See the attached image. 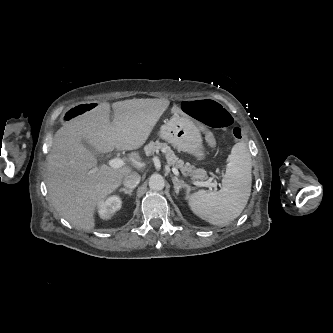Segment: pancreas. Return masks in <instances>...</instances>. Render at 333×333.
Instances as JSON below:
<instances>
[{
    "mask_svg": "<svg viewBox=\"0 0 333 333\" xmlns=\"http://www.w3.org/2000/svg\"><path fill=\"white\" fill-rule=\"evenodd\" d=\"M159 150L165 153L167 164L178 168L183 175L190 176L193 181H203L207 179V172L204 169H197L189 163H185L183 160L178 159L166 143L151 141L144 147V151L147 156L152 155Z\"/></svg>",
    "mask_w": 333,
    "mask_h": 333,
    "instance_id": "cf45deb5",
    "label": "pancreas"
}]
</instances>
